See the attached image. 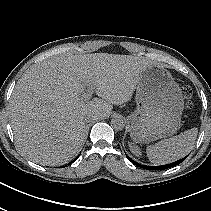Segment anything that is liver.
<instances>
[{
  "mask_svg": "<svg viewBox=\"0 0 211 211\" xmlns=\"http://www.w3.org/2000/svg\"><path fill=\"white\" fill-rule=\"evenodd\" d=\"M152 63L131 55L57 56L28 69L10 100L16 144L35 163H67L85 139V117H107L128 102ZM100 98H82L88 83Z\"/></svg>",
  "mask_w": 211,
  "mask_h": 211,
  "instance_id": "1",
  "label": "liver"
}]
</instances>
